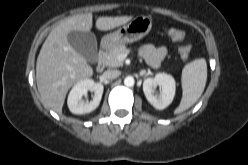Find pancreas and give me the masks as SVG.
<instances>
[{
  "mask_svg": "<svg viewBox=\"0 0 248 165\" xmlns=\"http://www.w3.org/2000/svg\"><path fill=\"white\" fill-rule=\"evenodd\" d=\"M126 53H129V49L124 44L114 46L105 57V65L112 68L123 66L120 57Z\"/></svg>",
  "mask_w": 248,
  "mask_h": 165,
  "instance_id": "1",
  "label": "pancreas"
}]
</instances>
